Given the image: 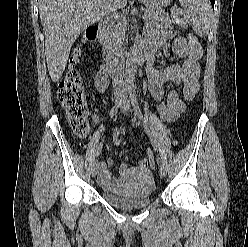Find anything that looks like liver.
<instances>
[{"label": "liver", "mask_w": 248, "mask_h": 247, "mask_svg": "<svg viewBox=\"0 0 248 247\" xmlns=\"http://www.w3.org/2000/svg\"><path fill=\"white\" fill-rule=\"evenodd\" d=\"M114 2L117 9L127 4V0ZM109 7V0H39L47 68L53 82L62 77L75 40L88 26L108 14Z\"/></svg>", "instance_id": "1"}]
</instances>
